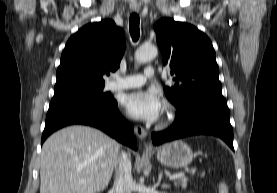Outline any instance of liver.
<instances>
[{
  "label": "liver",
  "instance_id": "obj_1",
  "mask_svg": "<svg viewBox=\"0 0 277 193\" xmlns=\"http://www.w3.org/2000/svg\"><path fill=\"white\" fill-rule=\"evenodd\" d=\"M120 145L95 128L74 125L43 144L40 193H98L117 165Z\"/></svg>",
  "mask_w": 277,
  "mask_h": 193
}]
</instances>
